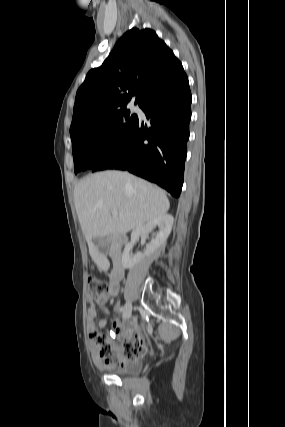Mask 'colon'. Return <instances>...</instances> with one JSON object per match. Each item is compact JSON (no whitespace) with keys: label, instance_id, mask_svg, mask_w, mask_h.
<instances>
[{"label":"colon","instance_id":"obj_1","mask_svg":"<svg viewBox=\"0 0 285 427\" xmlns=\"http://www.w3.org/2000/svg\"><path fill=\"white\" fill-rule=\"evenodd\" d=\"M88 290L92 298H96L99 295L107 291V284L94 275H90L87 280ZM92 339L99 349V354L103 359L116 361L117 357L113 350V341L110 336L105 333L95 332L92 334ZM144 352V347L137 335H133L127 340L126 346L123 348L121 360L132 361Z\"/></svg>","mask_w":285,"mask_h":427}]
</instances>
